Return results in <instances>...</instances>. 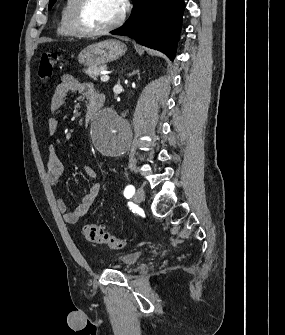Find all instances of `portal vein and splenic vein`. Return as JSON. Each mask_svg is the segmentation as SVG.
I'll return each instance as SVG.
<instances>
[{
    "label": "portal vein and splenic vein",
    "instance_id": "portal-vein-and-splenic-vein-1",
    "mask_svg": "<svg viewBox=\"0 0 285 335\" xmlns=\"http://www.w3.org/2000/svg\"><path fill=\"white\" fill-rule=\"evenodd\" d=\"M99 74H102L100 78L101 82H107V80H109L108 74H110V72H99Z\"/></svg>",
    "mask_w": 285,
    "mask_h": 335
}]
</instances>
